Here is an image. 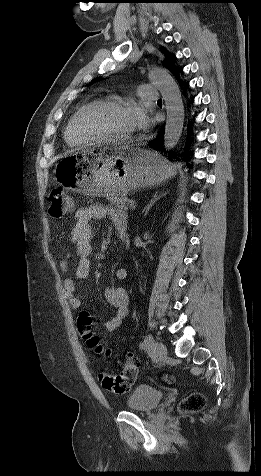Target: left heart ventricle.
Wrapping results in <instances>:
<instances>
[{"instance_id": "left-heart-ventricle-1", "label": "left heart ventricle", "mask_w": 261, "mask_h": 476, "mask_svg": "<svg viewBox=\"0 0 261 476\" xmlns=\"http://www.w3.org/2000/svg\"><path fill=\"white\" fill-rule=\"evenodd\" d=\"M133 107L97 108L89 112L85 128L90 132L126 135L134 130Z\"/></svg>"}]
</instances>
